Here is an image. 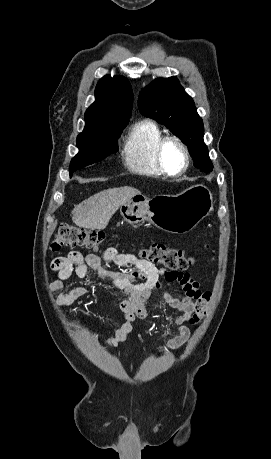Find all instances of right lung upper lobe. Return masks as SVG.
I'll return each instance as SVG.
<instances>
[{
	"instance_id": "cb5924a9",
	"label": "right lung upper lobe",
	"mask_w": 271,
	"mask_h": 459,
	"mask_svg": "<svg viewBox=\"0 0 271 459\" xmlns=\"http://www.w3.org/2000/svg\"><path fill=\"white\" fill-rule=\"evenodd\" d=\"M95 98L85 113L86 122L100 119L129 120L133 93L126 78L104 76L97 84Z\"/></svg>"
}]
</instances>
